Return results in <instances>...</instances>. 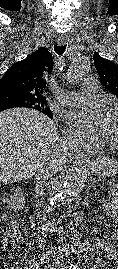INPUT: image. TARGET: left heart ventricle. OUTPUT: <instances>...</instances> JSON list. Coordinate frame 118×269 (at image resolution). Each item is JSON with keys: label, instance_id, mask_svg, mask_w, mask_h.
Here are the masks:
<instances>
[{"label": "left heart ventricle", "instance_id": "left-heart-ventricle-1", "mask_svg": "<svg viewBox=\"0 0 118 269\" xmlns=\"http://www.w3.org/2000/svg\"><path fill=\"white\" fill-rule=\"evenodd\" d=\"M98 134L103 140L118 143V112L106 115Z\"/></svg>", "mask_w": 118, "mask_h": 269}]
</instances>
